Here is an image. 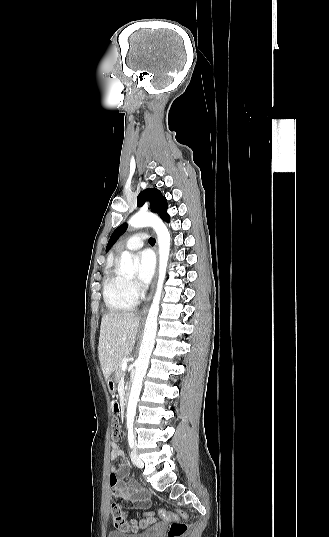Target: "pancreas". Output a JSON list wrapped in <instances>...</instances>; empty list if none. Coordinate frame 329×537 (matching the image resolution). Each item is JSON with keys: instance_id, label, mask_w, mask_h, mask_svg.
<instances>
[{"instance_id": "1", "label": "pancreas", "mask_w": 329, "mask_h": 537, "mask_svg": "<svg viewBox=\"0 0 329 537\" xmlns=\"http://www.w3.org/2000/svg\"><path fill=\"white\" fill-rule=\"evenodd\" d=\"M122 361L119 363L116 371H115V377H116V380L119 382L122 377L124 376V371H122Z\"/></svg>"}]
</instances>
